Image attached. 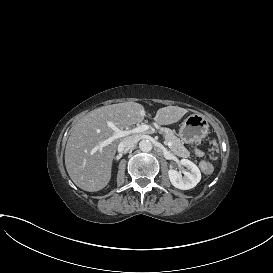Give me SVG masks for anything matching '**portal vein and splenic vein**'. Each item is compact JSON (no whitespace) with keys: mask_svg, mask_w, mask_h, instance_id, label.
I'll return each instance as SVG.
<instances>
[{"mask_svg":"<svg viewBox=\"0 0 273 273\" xmlns=\"http://www.w3.org/2000/svg\"><path fill=\"white\" fill-rule=\"evenodd\" d=\"M110 127L114 131V135H112L111 137L107 138L106 140L100 142L99 145L96 147V149H102L103 147L111 144L114 140L121 138V137L128 136L131 133H140V132H144L149 129V126L145 125V124L134 128L132 131L131 130H120L114 124H112ZM163 142H165V145L173 147V144H171V141H166V139H163Z\"/></svg>","mask_w":273,"mask_h":273,"instance_id":"18ae733b","label":"portal vein and splenic vein"}]
</instances>
